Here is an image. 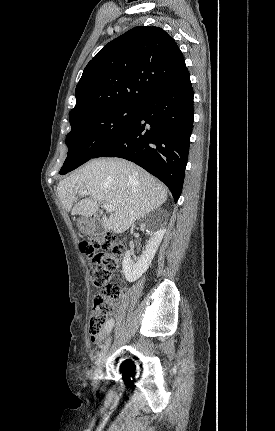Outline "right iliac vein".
<instances>
[{
    "instance_id": "right-iliac-vein-1",
    "label": "right iliac vein",
    "mask_w": 275,
    "mask_h": 431,
    "mask_svg": "<svg viewBox=\"0 0 275 431\" xmlns=\"http://www.w3.org/2000/svg\"><path fill=\"white\" fill-rule=\"evenodd\" d=\"M111 339L109 338L105 345L103 346L102 350L100 351L96 363H95V369H94V375L96 378H99L102 375V368L105 362V358L109 349Z\"/></svg>"
}]
</instances>
